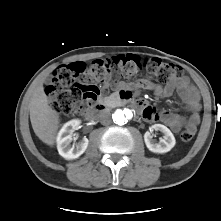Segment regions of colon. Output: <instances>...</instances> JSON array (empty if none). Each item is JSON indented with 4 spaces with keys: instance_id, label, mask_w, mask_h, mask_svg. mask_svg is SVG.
I'll use <instances>...</instances> for the list:
<instances>
[{
    "instance_id": "5ec220e1",
    "label": "colon",
    "mask_w": 221,
    "mask_h": 221,
    "mask_svg": "<svg viewBox=\"0 0 221 221\" xmlns=\"http://www.w3.org/2000/svg\"><path fill=\"white\" fill-rule=\"evenodd\" d=\"M142 70H146L156 83L163 86L172 85L183 76L181 67L157 58L141 60L133 55H124L97 59L89 65L73 62L62 65L54 72L46 87V95L55 111L73 114L78 109L89 107L97 99L98 84L105 82L112 72L131 76ZM194 133L186 129L181 133V139L190 141Z\"/></svg>"
}]
</instances>
